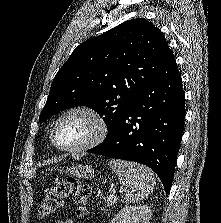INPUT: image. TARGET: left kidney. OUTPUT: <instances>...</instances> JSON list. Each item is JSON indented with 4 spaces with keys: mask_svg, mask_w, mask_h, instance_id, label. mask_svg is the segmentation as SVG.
<instances>
[{
    "mask_svg": "<svg viewBox=\"0 0 221 223\" xmlns=\"http://www.w3.org/2000/svg\"><path fill=\"white\" fill-rule=\"evenodd\" d=\"M151 209L146 206H132L120 210L110 223H149Z\"/></svg>",
    "mask_w": 221,
    "mask_h": 223,
    "instance_id": "left-kidney-1",
    "label": "left kidney"
}]
</instances>
